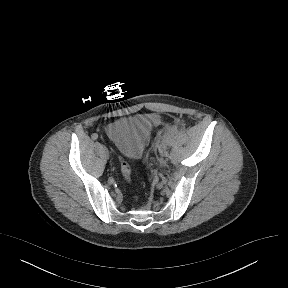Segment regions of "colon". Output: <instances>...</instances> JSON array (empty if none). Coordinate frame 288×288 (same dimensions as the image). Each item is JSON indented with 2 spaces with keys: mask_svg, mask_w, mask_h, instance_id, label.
<instances>
[{
  "mask_svg": "<svg viewBox=\"0 0 288 288\" xmlns=\"http://www.w3.org/2000/svg\"><path fill=\"white\" fill-rule=\"evenodd\" d=\"M121 173L124 179L130 182L132 177V170L129 164L124 159L121 161Z\"/></svg>",
  "mask_w": 288,
  "mask_h": 288,
  "instance_id": "colon-1",
  "label": "colon"
}]
</instances>
